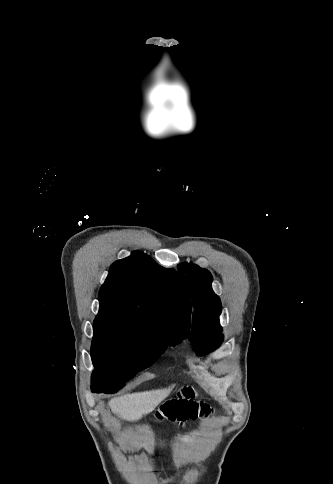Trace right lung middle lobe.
<instances>
[{
	"label": "right lung middle lobe",
	"instance_id": "dd1d6c3e",
	"mask_svg": "<svg viewBox=\"0 0 333 484\" xmlns=\"http://www.w3.org/2000/svg\"><path fill=\"white\" fill-rule=\"evenodd\" d=\"M93 329L91 389L106 393L116 392L138 371L153 364L167 346L186 337L175 324L156 329L122 318L96 317Z\"/></svg>",
	"mask_w": 333,
	"mask_h": 484
}]
</instances>
